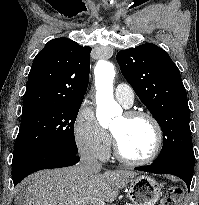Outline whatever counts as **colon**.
<instances>
[{
    "instance_id": "5ec220e1",
    "label": "colon",
    "mask_w": 199,
    "mask_h": 205,
    "mask_svg": "<svg viewBox=\"0 0 199 205\" xmlns=\"http://www.w3.org/2000/svg\"><path fill=\"white\" fill-rule=\"evenodd\" d=\"M183 196V189L179 186H172L168 189L161 205H180Z\"/></svg>"
}]
</instances>
